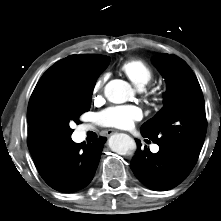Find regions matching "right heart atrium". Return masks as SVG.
Masks as SVG:
<instances>
[{
	"mask_svg": "<svg viewBox=\"0 0 221 221\" xmlns=\"http://www.w3.org/2000/svg\"><path fill=\"white\" fill-rule=\"evenodd\" d=\"M105 79L103 77L99 78L93 87V91L95 94H98L102 91L103 85H104Z\"/></svg>",
	"mask_w": 221,
	"mask_h": 221,
	"instance_id": "d8ad5b80",
	"label": "right heart atrium"
}]
</instances>
